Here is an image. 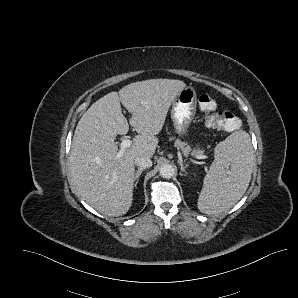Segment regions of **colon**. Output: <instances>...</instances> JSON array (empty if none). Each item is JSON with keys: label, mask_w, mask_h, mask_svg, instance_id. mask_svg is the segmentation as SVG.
I'll use <instances>...</instances> for the list:
<instances>
[{"label": "colon", "mask_w": 298, "mask_h": 298, "mask_svg": "<svg viewBox=\"0 0 298 298\" xmlns=\"http://www.w3.org/2000/svg\"><path fill=\"white\" fill-rule=\"evenodd\" d=\"M198 104L205 115V123L209 128L234 131L239 128L240 121L231 111H218L216 102L208 93L198 96Z\"/></svg>", "instance_id": "1"}]
</instances>
